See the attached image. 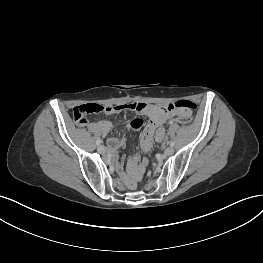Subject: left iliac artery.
Returning a JSON list of instances; mask_svg holds the SVG:
<instances>
[{
	"label": "left iliac artery",
	"mask_w": 263,
	"mask_h": 263,
	"mask_svg": "<svg viewBox=\"0 0 263 263\" xmlns=\"http://www.w3.org/2000/svg\"><path fill=\"white\" fill-rule=\"evenodd\" d=\"M170 146L171 147H173L174 146V142L172 141V142H170Z\"/></svg>",
	"instance_id": "1"
}]
</instances>
